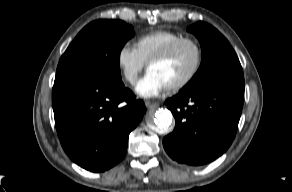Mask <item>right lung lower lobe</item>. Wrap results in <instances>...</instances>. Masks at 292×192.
<instances>
[{"label":"right lung lower lobe","mask_w":292,"mask_h":192,"mask_svg":"<svg viewBox=\"0 0 292 192\" xmlns=\"http://www.w3.org/2000/svg\"><path fill=\"white\" fill-rule=\"evenodd\" d=\"M52 105L64 151L92 172L108 170L124 158L129 134L146 111L123 82L70 70L56 72Z\"/></svg>","instance_id":"obj_1"}]
</instances>
